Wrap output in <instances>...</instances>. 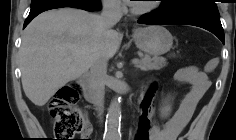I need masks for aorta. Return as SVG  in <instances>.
<instances>
[{
  "instance_id": "1",
  "label": "aorta",
  "mask_w": 236,
  "mask_h": 140,
  "mask_svg": "<svg viewBox=\"0 0 236 140\" xmlns=\"http://www.w3.org/2000/svg\"><path fill=\"white\" fill-rule=\"evenodd\" d=\"M120 121H121V100L120 98H115L112 100L106 116L105 134H104L106 140L120 139L121 137Z\"/></svg>"
}]
</instances>
